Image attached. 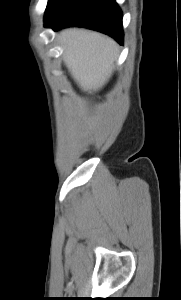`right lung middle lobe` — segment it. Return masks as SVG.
Returning <instances> with one entry per match:
<instances>
[{"instance_id": "right-lung-middle-lobe-1", "label": "right lung middle lobe", "mask_w": 181, "mask_h": 300, "mask_svg": "<svg viewBox=\"0 0 181 300\" xmlns=\"http://www.w3.org/2000/svg\"><path fill=\"white\" fill-rule=\"evenodd\" d=\"M63 2H64V0H49L46 11H45V15L52 12L59 5H61Z\"/></svg>"}]
</instances>
